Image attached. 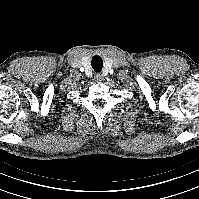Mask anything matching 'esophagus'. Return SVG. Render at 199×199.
I'll list each match as a JSON object with an SVG mask.
<instances>
[{
	"mask_svg": "<svg viewBox=\"0 0 199 199\" xmlns=\"http://www.w3.org/2000/svg\"><path fill=\"white\" fill-rule=\"evenodd\" d=\"M103 78H104V76L101 73H97L94 76V79H95L96 82H101L103 80Z\"/></svg>",
	"mask_w": 199,
	"mask_h": 199,
	"instance_id": "obj_1",
	"label": "esophagus"
}]
</instances>
